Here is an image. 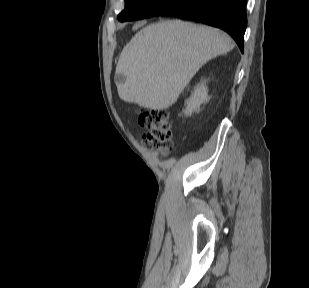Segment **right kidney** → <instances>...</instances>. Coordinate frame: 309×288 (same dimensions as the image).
I'll return each instance as SVG.
<instances>
[{
  "instance_id": "obj_1",
  "label": "right kidney",
  "mask_w": 309,
  "mask_h": 288,
  "mask_svg": "<svg viewBox=\"0 0 309 288\" xmlns=\"http://www.w3.org/2000/svg\"><path fill=\"white\" fill-rule=\"evenodd\" d=\"M208 100V90L205 82L200 83L194 89L191 97L186 101V109L184 114L186 116H191L193 112H199L202 103Z\"/></svg>"
}]
</instances>
